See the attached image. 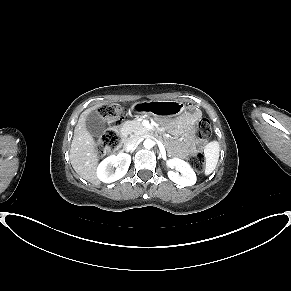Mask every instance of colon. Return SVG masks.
Instances as JSON below:
<instances>
[{"instance_id":"obj_1","label":"colon","mask_w":291,"mask_h":291,"mask_svg":"<svg viewBox=\"0 0 291 291\" xmlns=\"http://www.w3.org/2000/svg\"><path fill=\"white\" fill-rule=\"evenodd\" d=\"M102 119L109 125L108 129L97 141L99 153L106 154L112 152L121 140L119 127L125 122L127 111L119 105L102 106L99 109ZM211 134L210 122L207 119H201L194 128V137L198 143L205 142ZM194 166L197 170H202L204 166V156L198 152L192 156Z\"/></svg>"}]
</instances>
